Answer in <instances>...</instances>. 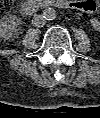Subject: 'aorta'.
<instances>
[{
	"mask_svg": "<svg viewBox=\"0 0 100 118\" xmlns=\"http://www.w3.org/2000/svg\"><path fill=\"white\" fill-rule=\"evenodd\" d=\"M43 16L46 20H54L57 16V13L54 8L48 7L43 10Z\"/></svg>",
	"mask_w": 100,
	"mask_h": 118,
	"instance_id": "1",
	"label": "aorta"
}]
</instances>
